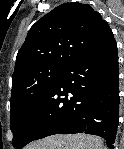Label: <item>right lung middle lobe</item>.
Masks as SVG:
<instances>
[{"label":"right lung middle lobe","instance_id":"dd1d6c3e","mask_svg":"<svg viewBox=\"0 0 124 149\" xmlns=\"http://www.w3.org/2000/svg\"><path fill=\"white\" fill-rule=\"evenodd\" d=\"M63 68L44 66L21 76L12 84L10 98L13 146L19 142L29 121Z\"/></svg>","mask_w":124,"mask_h":149}]
</instances>
